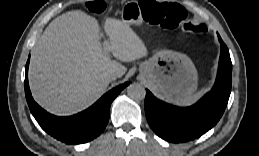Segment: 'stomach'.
<instances>
[{"label": "stomach", "instance_id": "stomach-1", "mask_svg": "<svg viewBox=\"0 0 259 156\" xmlns=\"http://www.w3.org/2000/svg\"><path fill=\"white\" fill-rule=\"evenodd\" d=\"M140 19V15L133 11V6L126 4L122 11V21L132 24L138 23ZM141 72L154 90L169 102L175 103L188 97L197 89V70L191 59L182 53L157 51L144 62Z\"/></svg>", "mask_w": 259, "mask_h": 156}]
</instances>
